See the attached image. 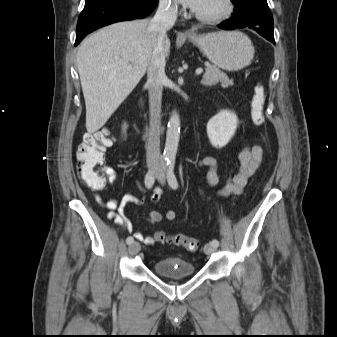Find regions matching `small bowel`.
Wrapping results in <instances>:
<instances>
[{"instance_id":"obj_1","label":"small bowel","mask_w":337,"mask_h":337,"mask_svg":"<svg viewBox=\"0 0 337 337\" xmlns=\"http://www.w3.org/2000/svg\"><path fill=\"white\" fill-rule=\"evenodd\" d=\"M263 158V151L259 145L245 146L239 153L240 167L238 171L225 179V183L222 187L217 189L218 195L222 197L237 196L241 194L248 183V180L259 169ZM199 166L208 168L206 181L207 184L215 188L220 181L218 162L214 157L205 156L201 157L197 161ZM104 172L109 184L115 183L117 179V173L114 168L107 166L104 168ZM202 198L207 199L200 191ZM163 196L161 188H155L152 195V202L156 204ZM96 201L109 210L107 217L113 220L118 226L125 228L128 232H132L133 227L129 219L125 214V208L128 203H134L139 205L141 202L138 198L131 194L124 195L120 200L110 199L103 201L99 194L95 195ZM177 214L173 210H169L165 213V218L169 221H174ZM162 214L155 209H152L147 214V220L151 224H157L162 221ZM134 237L146 244L153 245L157 241L154 236H146L141 232H135Z\"/></svg>"}]
</instances>
